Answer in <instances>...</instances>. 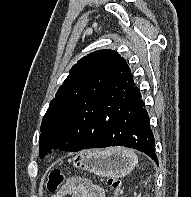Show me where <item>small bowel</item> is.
I'll list each match as a JSON object with an SVG mask.
<instances>
[{
	"instance_id": "c3829d8e",
	"label": "small bowel",
	"mask_w": 191,
	"mask_h": 197,
	"mask_svg": "<svg viewBox=\"0 0 191 197\" xmlns=\"http://www.w3.org/2000/svg\"><path fill=\"white\" fill-rule=\"evenodd\" d=\"M51 197H104L103 190L85 180H73L65 183Z\"/></svg>"
}]
</instances>
